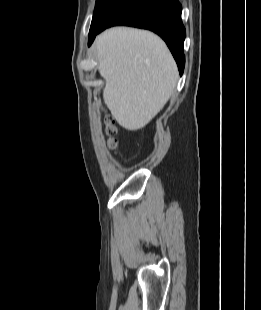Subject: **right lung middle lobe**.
I'll return each instance as SVG.
<instances>
[{"label": "right lung middle lobe", "mask_w": 261, "mask_h": 310, "mask_svg": "<svg viewBox=\"0 0 261 310\" xmlns=\"http://www.w3.org/2000/svg\"><path fill=\"white\" fill-rule=\"evenodd\" d=\"M128 0H96L90 30L102 25L117 9Z\"/></svg>", "instance_id": "dd1d6c3e"}]
</instances>
